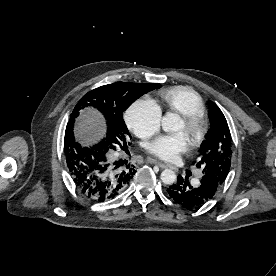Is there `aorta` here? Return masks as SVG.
Segmentation results:
<instances>
[{
  "mask_svg": "<svg viewBox=\"0 0 276 276\" xmlns=\"http://www.w3.org/2000/svg\"><path fill=\"white\" fill-rule=\"evenodd\" d=\"M161 125L165 132H176L182 128L183 123L178 114L167 113L163 116ZM160 178L164 184L171 185L176 181L177 176L173 170L165 169L162 171Z\"/></svg>",
  "mask_w": 276,
  "mask_h": 276,
  "instance_id": "obj_1",
  "label": "aorta"
}]
</instances>
